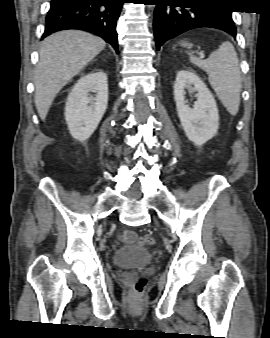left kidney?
Instances as JSON below:
<instances>
[{
  "label": "left kidney",
  "instance_id": "1",
  "mask_svg": "<svg viewBox=\"0 0 270 338\" xmlns=\"http://www.w3.org/2000/svg\"><path fill=\"white\" fill-rule=\"evenodd\" d=\"M185 89L197 91L193 108L185 102ZM174 100L181 125L190 141L202 146L215 136L219 126L216 101L205 83L192 70H180L177 73Z\"/></svg>",
  "mask_w": 270,
  "mask_h": 338
}]
</instances>
